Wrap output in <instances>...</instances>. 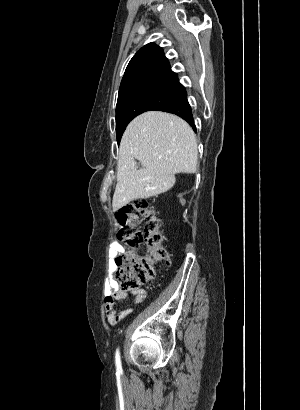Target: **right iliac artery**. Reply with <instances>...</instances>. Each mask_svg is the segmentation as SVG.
Instances as JSON below:
<instances>
[{
  "instance_id": "obj_1",
  "label": "right iliac artery",
  "mask_w": 300,
  "mask_h": 410,
  "mask_svg": "<svg viewBox=\"0 0 300 410\" xmlns=\"http://www.w3.org/2000/svg\"><path fill=\"white\" fill-rule=\"evenodd\" d=\"M115 362H116L117 370H120V369H121V360H120V352H119V349L116 350Z\"/></svg>"
}]
</instances>
